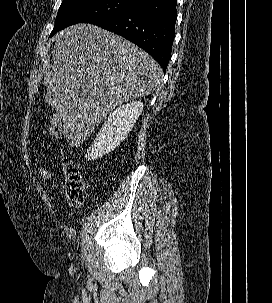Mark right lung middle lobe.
I'll return each mask as SVG.
<instances>
[{
	"mask_svg": "<svg viewBox=\"0 0 272 303\" xmlns=\"http://www.w3.org/2000/svg\"><path fill=\"white\" fill-rule=\"evenodd\" d=\"M138 6L133 0H63L51 32H56L76 23L95 21L117 15Z\"/></svg>",
	"mask_w": 272,
	"mask_h": 303,
	"instance_id": "right-lung-middle-lobe-1",
	"label": "right lung middle lobe"
}]
</instances>
